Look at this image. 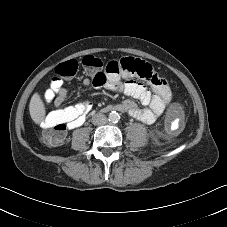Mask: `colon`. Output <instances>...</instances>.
<instances>
[{"label": "colon", "mask_w": 227, "mask_h": 227, "mask_svg": "<svg viewBox=\"0 0 227 227\" xmlns=\"http://www.w3.org/2000/svg\"><path fill=\"white\" fill-rule=\"evenodd\" d=\"M82 64L93 73V81L96 85H102L107 80L103 68L109 74L111 79L117 78L121 73L127 72L135 74L141 78H149L153 72L151 65L137 60L126 59L122 61H109L105 66L103 61L94 55H85L82 58ZM78 69V62L70 59L58 64L54 68L53 82L55 87H60L63 83L62 77L74 76ZM67 114L61 115V118H67ZM51 131H46L43 135L44 141L49 145H55L65 138V123L60 121L55 123Z\"/></svg>", "instance_id": "5ec220e1"}]
</instances>
